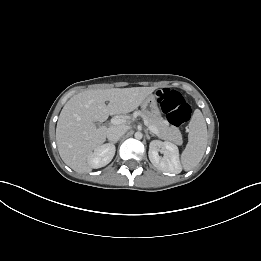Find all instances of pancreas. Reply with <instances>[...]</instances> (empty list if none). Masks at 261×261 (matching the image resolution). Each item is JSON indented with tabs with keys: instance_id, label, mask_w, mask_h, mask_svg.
<instances>
[{
	"instance_id": "1",
	"label": "pancreas",
	"mask_w": 261,
	"mask_h": 261,
	"mask_svg": "<svg viewBox=\"0 0 261 261\" xmlns=\"http://www.w3.org/2000/svg\"><path fill=\"white\" fill-rule=\"evenodd\" d=\"M137 114L141 116L148 125L158 129L157 136L159 138L173 142L177 145L183 143L180 130L175 126L170 125L169 122L164 120L160 115L148 116L143 112H137Z\"/></svg>"
}]
</instances>
